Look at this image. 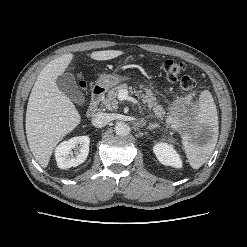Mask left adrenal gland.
I'll use <instances>...</instances> for the list:
<instances>
[{"mask_svg": "<svg viewBox=\"0 0 247 247\" xmlns=\"http://www.w3.org/2000/svg\"><path fill=\"white\" fill-rule=\"evenodd\" d=\"M158 127H159L158 124H150L147 128H148L149 130H153V129H156V128H158Z\"/></svg>", "mask_w": 247, "mask_h": 247, "instance_id": "left-adrenal-gland-1", "label": "left adrenal gland"}]
</instances>
